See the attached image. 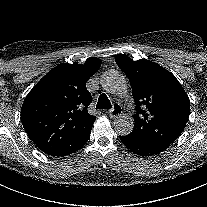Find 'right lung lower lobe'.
I'll use <instances>...</instances> for the list:
<instances>
[{
  "mask_svg": "<svg viewBox=\"0 0 207 207\" xmlns=\"http://www.w3.org/2000/svg\"><path fill=\"white\" fill-rule=\"evenodd\" d=\"M89 136H90V135H89ZM89 136H88L87 140H86V141H85V142H84L78 149H80L83 145H85V143H86V142L88 141V139H89ZM78 149H77V150H78ZM77 150H76V151H77Z\"/></svg>",
  "mask_w": 207,
  "mask_h": 207,
  "instance_id": "right-lung-lower-lobe-1",
  "label": "right lung lower lobe"
}]
</instances>
